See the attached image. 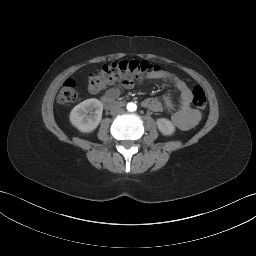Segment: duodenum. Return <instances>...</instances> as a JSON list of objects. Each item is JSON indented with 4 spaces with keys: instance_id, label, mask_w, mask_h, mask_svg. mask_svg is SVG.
Returning <instances> with one entry per match:
<instances>
[{
    "instance_id": "duodenum-1",
    "label": "duodenum",
    "mask_w": 256,
    "mask_h": 256,
    "mask_svg": "<svg viewBox=\"0 0 256 256\" xmlns=\"http://www.w3.org/2000/svg\"><path fill=\"white\" fill-rule=\"evenodd\" d=\"M102 102H103L105 108L108 110L120 108L123 105L122 102H120L114 98H111L109 96H106V95L103 97Z\"/></svg>"
}]
</instances>
